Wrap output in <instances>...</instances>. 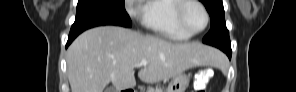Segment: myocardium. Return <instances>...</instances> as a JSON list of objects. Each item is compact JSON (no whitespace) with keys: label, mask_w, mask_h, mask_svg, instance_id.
<instances>
[{"label":"myocardium","mask_w":296,"mask_h":92,"mask_svg":"<svg viewBox=\"0 0 296 92\" xmlns=\"http://www.w3.org/2000/svg\"><path fill=\"white\" fill-rule=\"evenodd\" d=\"M190 4H195V5L199 6L204 13L205 24H204L203 28L200 29L199 31H191L187 27V25L185 24L184 11L187 8V6ZM175 18H176V22H177L178 26L189 36H195V35L202 33L203 31L206 30V28L208 27L209 22H210V16H209L207 9L205 8V6L201 2H199L197 0H186V1L181 2V4L177 8Z\"/></svg>","instance_id":"1"}]
</instances>
